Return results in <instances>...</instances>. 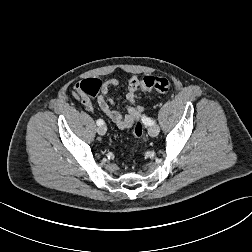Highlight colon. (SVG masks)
Segmentation results:
<instances>
[{
    "label": "colon",
    "mask_w": 252,
    "mask_h": 252,
    "mask_svg": "<svg viewBox=\"0 0 252 252\" xmlns=\"http://www.w3.org/2000/svg\"><path fill=\"white\" fill-rule=\"evenodd\" d=\"M139 86L143 90L154 89L160 92H166L170 88V82L165 77L160 76H145L138 79ZM102 88V83L97 78L85 79L80 82L81 91L89 97H95L100 89ZM133 134L136 139H139L143 134L142 124L139 120L133 123Z\"/></svg>",
    "instance_id": "colon-1"
}]
</instances>
